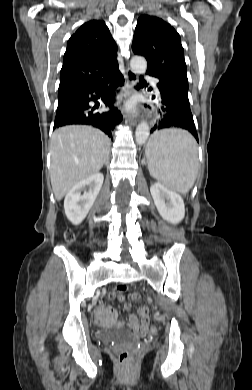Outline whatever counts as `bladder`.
<instances>
[{"label": "bladder", "instance_id": "31cf9c89", "mask_svg": "<svg viewBox=\"0 0 252 390\" xmlns=\"http://www.w3.org/2000/svg\"><path fill=\"white\" fill-rule=\"evenodd\" d=\"M96 338L100 341L117 340L125 343H131L135 340L130 332L118 327H100Z\"/></svg>", "mask_w": 252, "mask_h": 390}]
</instances>
